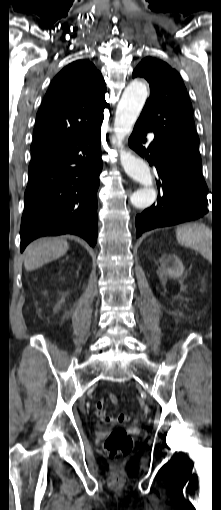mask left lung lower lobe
Returning a JSON list of instances; mask_svg holds the SVG:
<instances>
[{
  "mask_svg": "<svg viewBox=\"0 0 221 510\" xmlns=\"http://www.w3.org/2000/svg\"><path fill=\"white\" fill-rule=\"evenodd\" d=\"M151 131L146 123L137 120L129 138V146L156 168L158 189L161 188L158 202L136 216L137 237L154 228L196 220L208 213V188L202 176L201 159L156 136L149 146H144L145 136Z\"/></svg>",
  "mask_w": 221,
  "mask_h": 510,
  "instance_id": "0a47b994",
  "label": "left lung lower lobe"
}]
</instances>
